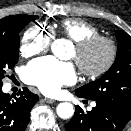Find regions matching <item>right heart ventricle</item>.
Here are the masks:
<instances>
[{
    "label": "right heart ventricle",
    "instance_id": "1",
    "mask_svg": "<svg viewBox=\"0 0 131 131\" xmlns=\"http://www.w3.org/2000/svg\"><path fill=\"white\" fill-rule=\"evenodd\" d=\"M58 28L62 35L73 42L99 34V29L94 24L79 18L65 19Z\"/></svg>",
    "mask_w": 131,
    "mask_h": 131
}]
</instances>
